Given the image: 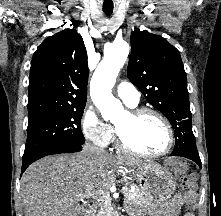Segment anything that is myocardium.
<instances>
[{"label": "myocardium", "mask_w": 221, "mask_h": 216, "mask_svg": "<svg viewBox=\"0 0 221 216\" xmlns=\"http://www.w3.org/2000/svg\"><path fill=\"white\" fill-rule=\"evenodd\" d=\"M127 113L131 117L132 120H139L140 118L146 115H153L156 118H158L164 124L166 128V131L168 134V142H167L166 147L162 151L155 152V153L142 152L134 148L132 145H130L126 141L124 136L122 135L119 128L115 125L116 141H117V146L119 147L120 150L129 154L144 157V158H158L170 152L175 142L174 130L172 128L170 121L161 112L150 107H135L127 111Z\"/></svg>", "instance_id": "obj_1"}]
</instances>
